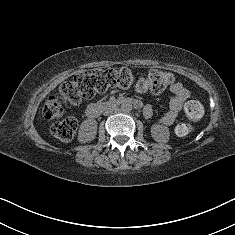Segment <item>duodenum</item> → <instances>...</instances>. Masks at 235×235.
<instances>
[{"label":"duodenum","instance_id":"1","mask_svg":"<svg viewBox=\"0 0 235 235\" xmlns=\"http://www.w3.org/2000/svg\"><path fill=\"white\" fill-rule=\"evenodd\" d=\"M115 104H131L135 108H141L142 103L138 100L124 97V98H119L118 100H115L113 102H110L108 105H115ZM104 105L101 104H91L88 106L86 110V115L88 118H97L101 112L103 111Z\"/></svg>","mask_w":235,"mask_h":235}]
</instances>
